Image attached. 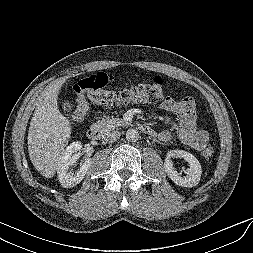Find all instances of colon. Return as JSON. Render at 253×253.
I'll return each mask as SVG.
<instances>
[{"label": "colon", "instance_id": "5ec220e1", "mask_svg": "<svg viewBox=\"0 0 253 253\" xmlns=\"http://www.w3.org/2000/svg\"><path fill=\"white\" fill-rule=\"evenodd\" d=\"M107 76L102 73L92 74L77 82L75 85V109L72 120L82 121L89 110V100L107 106H120L133 102H157L164 95V82L161 77H155L151 82L134 85L130 88L110 91L105 87ZM213 154L212 146L205 144L203 156L210 158Z\"/></svg>", "mask_w": 253, "mask_h": 253}]
</instances>
